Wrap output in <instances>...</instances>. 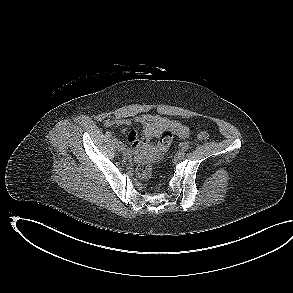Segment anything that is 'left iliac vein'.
<instances>
[{
  "label": "left iliac vein",
  "instance_id": "left-iliac-vein-1",
  "mask_svg": "<svg viewBox=\"0 0 293 293\" xmlns=\"http://www.w3.org/2000/svg\"><path fill=\"white\" fill-rule=\"evenodd\" d=\"M177 158L179 159H183L185 157V152L184 151H179L177 154H176Z\"/></svg>",
  "mask_w": 293,
  "mask_h": 293
}]
</instances>
